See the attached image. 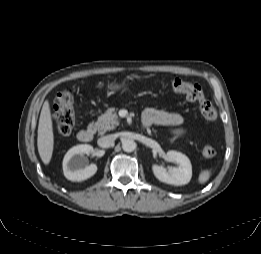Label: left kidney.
<instances>
[{"instance_id": "obj_1", "label": "left kidney", "mask_w": 261, "mask_h": 254, "mask_svg": "<svg viewBox=\"0 0 261 254\" xmlns=\"http://www.w3.org/2000/svg\"><path fill=\"white\" fill-rule=\"evenodd\" d=\"M165 158L178 166L167 171L163 166L154 164L152 170L155 177L161 182L175 186L188 184L192 177V165L189 158L174 150L168 151Z\"/></svg>"}]
</instances>
